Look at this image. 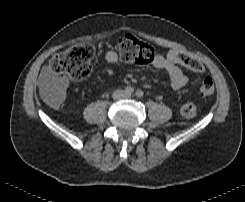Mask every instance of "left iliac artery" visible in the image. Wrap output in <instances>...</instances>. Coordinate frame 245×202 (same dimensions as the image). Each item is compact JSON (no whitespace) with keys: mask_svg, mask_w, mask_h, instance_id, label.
<instances>
[{"mask_svg":"<svg viewBox=\"0 0 245 202\" xmlns=\"http://www.w3.org/2000/svg\"><path fill=\"white\" fill-rule=\"evenodd\" d=\"M143 95H144V93H143L142 90H138V91L136 92V96H137L138 98H142Z\"/></svg>","mask_w":245,"mask_h":202,"instance_id":"left-iliac-artery-1","label":"left iliac artery"}]
</instances>
